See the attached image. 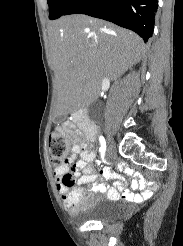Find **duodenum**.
Returning <instances> with one entry per match:
<instances>
[{"label": "duodenum", "mask_w": 183, "mask_h": 246, "mask_svg": "<svg viewBox=\"0 0 183 246\" xmlns=\"http://www.w3.org/2000/svg\"><path fill=\"white\" fill-rule=\"evenodd\" d=\"M73 117H74V121L80 125L87 138L94 139L97 132V128L95 124L92 123L86 117V110L85 109L79 110L73 115Z\"/></svg>", "instance_id": "obj_1"}]
</instances>
